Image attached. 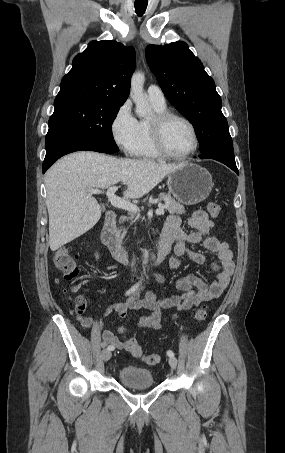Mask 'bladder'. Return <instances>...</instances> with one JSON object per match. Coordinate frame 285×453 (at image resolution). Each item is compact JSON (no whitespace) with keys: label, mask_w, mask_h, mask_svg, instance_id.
<instances>
[{"label":"bladder","mask_w":285,"mask_h":453,"mask_svg":"<svg viewBox=\"0 0 285 453\" xmlns=\"http://www.w3.org/2000/svg\"><path fill=\"white\" fill-rule=\"evenodd\" d=\"M118 380L128 387L146 388L155 384L151 370L136 365H125L118 371Z\"/></svg>","instance_id":"obj_1"}]
</instances>
